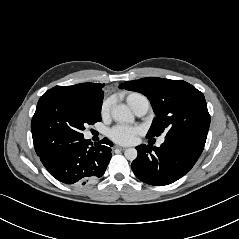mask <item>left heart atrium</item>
I'll return each mask as SVG.
<instances>
[{"mask_svg":"<svg viewBox=\"0 0 239 239\" xmlns=\"http://www.w3.org/2000/svg\"><path fill=\"white\" fill-rule=\"evenodd\" d=\"M138 133L139 128L137 127L118 124L111 128V130L109 131V136L116 143L130 144L135 140Z\"/></svg>","mask_w":239,"mask_h":239,"instance_id":"39dd6f15","label":"left heart atrium"}]
</instances>
